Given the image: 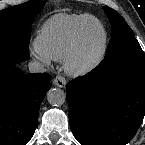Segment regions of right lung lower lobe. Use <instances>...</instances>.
Masks as SVG:
<instances>
[{
    "mask_svg": "<svg viewBox=\"0 0 145 145\" xmlns=\"http://www.w3.org/2000/svg\"><path fill=\"white\" fill-rule=\"evenodd\" d=\"M50 75H25L16 64L0 65V145H25L38 125Z\"/></svg>",
    "mask_w": 145,
    "mask_h": 145,
    "instance_id": "1",
    "label": "right lung lower lobe"
}]
</instances>
